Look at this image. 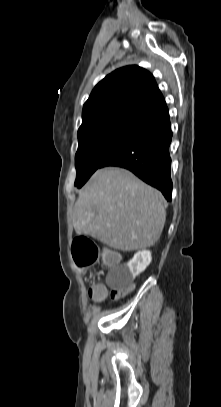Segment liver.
Returning a JSON list of instances; mask_svg holds the SVG:
<instances>
[{"instance_id":"6515ba94","label":"liver","mask_w":221,"mask_h":407,"mask_svg":"<svg viewBox=\"0 0 221 407\" xmlns=\"http://www.w3.org/2000/svg\"><path fill=\"white\" fill-rule=\"evenodd\" d=\"M166 201L158 190L126 169L97 170L75 203L80 232L121 250L153 246L166 220Z\"/></svg>"}]
</instances>
